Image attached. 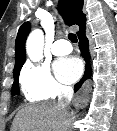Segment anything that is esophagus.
<instances>
[{"label":"esophagus","mask_w":117,"mask_h":131,"mask_svg":"<svg viewBox=\"0 0 117 131\" xmlns=\"http://www.w3.org/2000/svg\"><path fill=\"white\" fill-rule=\"evenodd\" d=\"M88 101V97H87V88L83 90L82 93H80L74 100V105L75 107L79 108V107H83L86 105Z\"/></svg>","instance_id":"obj_1"}]
</instances>
